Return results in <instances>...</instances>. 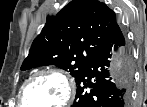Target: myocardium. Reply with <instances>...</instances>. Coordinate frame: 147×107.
Instances as JSON below:
<instances>
[{
    "label": "myocardium",
    "instance_id": "obj_1",
    "mask_svg": "<svg viewBox=\"0 0 147 107\" xmlns=\"http://www.w3.org/2000/svg\"><path fill=\"white\" fill-rule=\"evenodd\" d=\"M45 76L57 77L58 79L62 81L65 87V98L62 100L61 103H59L58 105L54 107H65L71 103L74 97V94H75V85L72 79L67 74H65L64 72L58 69H45V70H41L33 74L22 86L20 94H19V103L22 106L24 107L28 106L25 102V94L28 88L30 87V85L38 78L45 77Z\"/></svg>",
    "mask_w": 147,
    "mask_h": 107
}]
</instances>
